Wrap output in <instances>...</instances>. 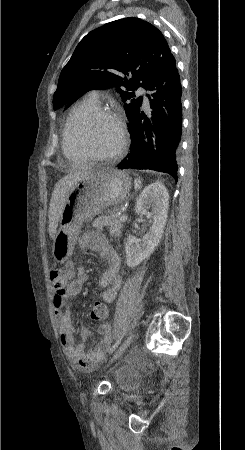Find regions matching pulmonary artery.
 <instances>
[{"label": "pulmonary artery", "instance_id": "pulmonary-artery-1", "mask_svg": "<svg viewBox=\"0 0 245 450\" xmlns=\"http://www.w3.org/2000/svg\"><path fill=\"white\" fill-rule=\"evenodd\" d=\"M99 96H100V92L98 91V90H93V91H91L89 94H88V97L89 98H91L92 100H94V101H97L98 102V100H99ZM148 99L145 97L144 98V104L145 105H148Z\"/></svg>", "mask_w": 245, "mask_h": 450}]
</instances>
